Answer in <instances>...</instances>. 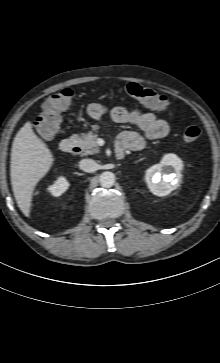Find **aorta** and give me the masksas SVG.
Masks as SVG:
<instances>
[{
	"label": "aorta",
	"mask_w": 220,
	"mask_h": 363,
	"mask_svg": "<svg viewBox=\"0 0 220 363\" xmlns=\"http://www.w3.org/2000/svg\"><path fill=\"white\" fill-rule=\"evenodd\" d=\"M99 182L102 187L110 188L115 183V175L110 171H105L100 175Z\"/></svg>",
	"instance_id": "obj_1"
}]
</instances>
